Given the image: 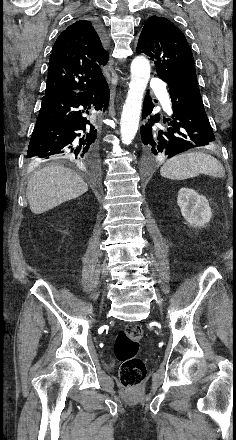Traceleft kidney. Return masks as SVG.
Returning a JSON list of instances; mask_svg holds the SVG:
<instances>
[{
	"label": "left kidney",
	"instance_id": "1",
	"mask_svg": "<svg viewBox=\"0 0 236 440\" xmlns=\"http://www.w3.org/2000/svg\"><path fill=\"white\" fill-rule=\"evenodd\" d=\"M177 203L182 216L191 226L203 227L212 217L206 197L199 195L193 189L181 188L178 192Z\"/></svg>",
	"mask_w": 236,
	"mask_h": 440
}]
</instances>
